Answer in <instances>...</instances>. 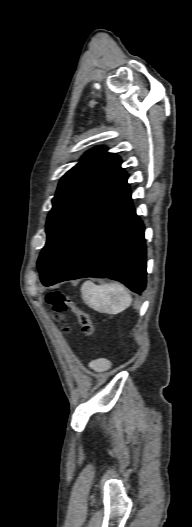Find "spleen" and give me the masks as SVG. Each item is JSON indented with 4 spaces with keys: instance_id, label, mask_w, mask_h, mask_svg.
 Instances as JSON below:
<instances>
[{
    "instance_id": "1",
    "label": "spleen",
    "mask_w": 192,
    "mask_h": 527,
    "mask_svg": "<svg viewBox=\"0 0 192 527\" xmlns=\"http://www.w3.org/2000/svg\"><path fill=\"white\" fill-rule=\"evenodd\" d=\"M81 293L85 303L99 312L117 314L132 303L129 291L116 283L96 285L92 281H85Z\"/></svg>"
}]
</instances>
